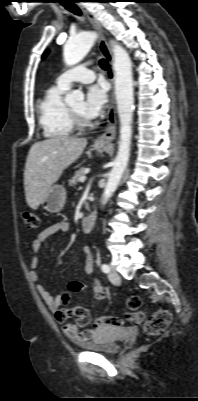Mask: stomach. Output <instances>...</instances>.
Returning <instances> with one entry per match:
<instances>
[{
	"label": "stomach",
	"mask_w": 198,
	"mask_h": 401,
	"mask_svg": "<svg viewBox=\"0 0 198 401\" xmlns=\"http://www.w3.org/2000/svg\"><path fill=\"white\" fill-rule=\"evenodd\" d=\"M107 145L105 144H94V148L102 152L105 150ZM66 202V189L62 185H54L50 188L47 196L41 202L43 209L50 213L60 212Z\"/></svg>",
	"instance_id": "obj_1"
}]
</instances>
